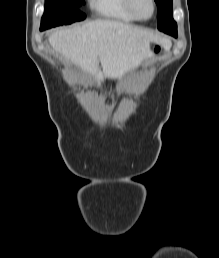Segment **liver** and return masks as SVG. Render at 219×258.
I'll return each mask as SVG.
<instances>
[{
  "label": "liver",
  "instance_id": "obj_1",
  "mask_svg": "<svg viewBox=\"0 0 219 258\" xmlns=\"http://www.w3.org/2000/svg\"><path fill=\"white\" fill-rule=\"evenodd\" d=\"M48 40L56 52L97 80L121 78L139 66L149 55L151 42L170 45L148 31L114 20H96L58 30Z\"/></svg>",
  "mask_w": 219,
  "mask_h": 258
}]
</instances>
